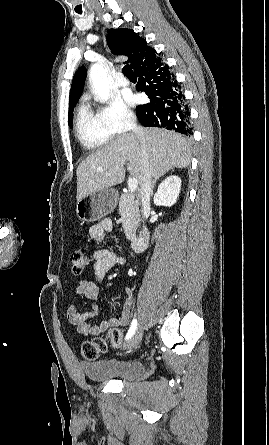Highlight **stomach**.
<instances>
[{
    "mask_svg": "<svg viewBox=\"0 0 269 445\" xmlns=\"http://www.w3.org/2000/svg\"><path fill=\"white\" fill-rule=\"evenodd\" d=\"M118 194L105 188L81 199L76 205V214L84 222H95L111 213L117 206Z\"/></svg>",
    "mask_w": 269,
    "mask_h": 445,
    "instance_id": "0dacf381",
    "label": "stomach"
}]
</instances>
